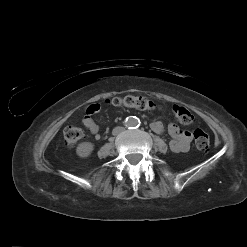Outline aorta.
<instances>
[{
	"instance_id": "aorta-1",
	"label": "aorta",
	"mask_w": 247,
	"mask_h": 247,
	"mask_svg": "<svg viewBox=\"0 0 247 247\" xmlns=\"http://www.w3.org/2000/svg\"><path fill=\"white\" fill-rule=\"evenodd\" d=\"M125 123L127 127H135V126H138L139 120L136 117H128Z\"/></svg>"
}]
</instances>
